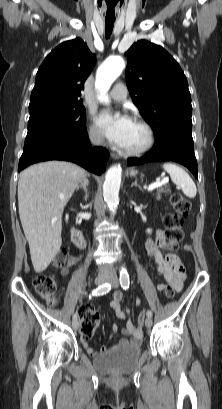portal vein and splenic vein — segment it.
Segmentation results:
<instances>
[{
    "label": "portal vein and splenic vein",
    "mask_w": 222,
    "mask_h": 409,
    "mask_svg": "<svg viewBox=\"0 0 222 409\" xmlns=\"http://www.w3.org/2000/svg\"><path fill=\"white\" fill-rule=\"evenodd\" d=\"M168 181H169V180H168L167 178H164V179H162V180H157L156 182H154V183H152L151 185H149L148 191H152V190H154L155 188H158V187H160V186H162V185H164V184H167Z\"/></svg>",
    "instance_id": "obj_1"
}]
</instances>
